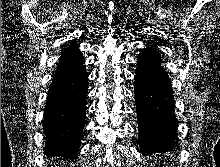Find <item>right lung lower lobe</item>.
<instances>
[{"label":"right lung lower lobe","mask_w":220,"mask_h":167,"mask_svg":"<svg viewBox=\"0 0 220 167\" xmlns=\"http://www.w3.org/2000/svg\"><path fill=\"white\" fill-rule=\"evenodd\" d=\"M84 61L57 69L48 92L43 128L44 154L76 159L86 118L88 78Z\"/></svg>","instance_id":"obj_1"}]
</instances>
